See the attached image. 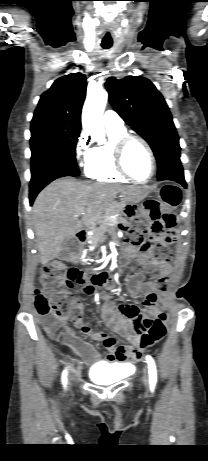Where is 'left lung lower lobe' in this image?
Instances as JSON below:
<instances>
[{"instance_id": "0a47b994", "label": "left lung lower lobe", "mask_w": 208, "mask_h": 461, "mask_svg": "<svg viewBox=\"0 0 208 461\" xmlns=\"http://www.w3.org/2000/svg\"><path fill=\"white\" fill-rule=\"evenodd\" d=\"M157 180H171L180 183L184 187L187 186L184 179V173L181 164L175 165L172 168L168 169L165 173L158 176Z\"/></svg>"}]
</instances>
